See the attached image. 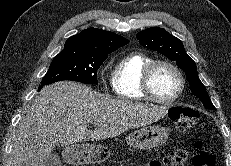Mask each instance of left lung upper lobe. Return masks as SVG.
Wrapping results in <instances>:
<instances>
[{
	"label": "left lung upper lobe",
	"instance_id": "left-lung-upper-lobe-1",
	"mask_svg": "<svg viewBox=\"0 0 231 166\" xmlns=\"http://www.w3.org/2000/svg\"><path fill=\"white\" fill-rule=\"evenodd\" d=\"M139 43L148 49L157 51L175 61L190 83L191 92L198 97L204 107L215 110L205 86L198 77L195 62L185 52L182 42L160 27H151L137 34Z\"/></svg>",
	"mask_w": 231,
	"mask_h": 166
}]
</instances>
